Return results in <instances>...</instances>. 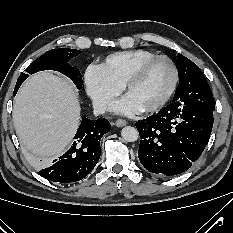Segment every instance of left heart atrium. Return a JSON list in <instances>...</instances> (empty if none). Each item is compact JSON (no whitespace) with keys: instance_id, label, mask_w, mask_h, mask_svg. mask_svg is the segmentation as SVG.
Instances as JSON below:
<instances>
[{"instance_id":"39dd6f15","label":"left heart atrium","mask_w":233,"mask_h":233,"mask_svg":"<svg viewBox=\"0 0 233 233\" xmlns=\"http://www.w3.org/2000/svg\"><path fill=\"white\" fill-rule=\"evenodd\" d=\"M113 109L117 112L132 114L142 110L128 95L121 101L117 102Z\"/></svg>"}]
</instances>
